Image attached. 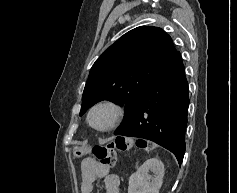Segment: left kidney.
I'll list each match as a JSON object with an SVG mask.
<instances>
[{
  "instance_id": "5707ae66",
  "label": "left kidney",
  "mask_w": 237,
  "mask_h": 193,
  "mask_svg": "<svg viewBox=\"0 0 237 193\" xmlns=\"http://www.w3.org/2000/svg\"><path fill=\"white\" fill-rule=\"evenodd\" d=\"M149 171L154 173L151 177ZM164 164L157 158L144 162L129 178L128 193H159L163 183Z\"/></svg>"
}]
</instances>
